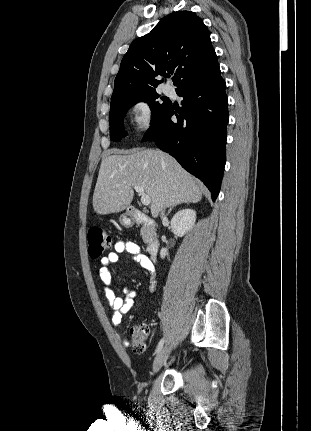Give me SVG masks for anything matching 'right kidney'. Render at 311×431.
<instances>
[{"label":"right kidney","instance_id":"ca27d5eb","mask_svg":"<svg viewBox=\"0 0 311 431\" xmlns=\"http://www.w3.org/2000/svg\"><path fill=\"white\" fill-rule=\"evenodd\" d=\"M195 221V210H180V212H177V214H175L171 219L172 231L175 235L183 237L187 231L192 229L193 225H195ZM167 253V247H162V249H160V257H162V259L167 255Z\"/></svg>","mask_w":311,"mask_h":431}]
</instances>
